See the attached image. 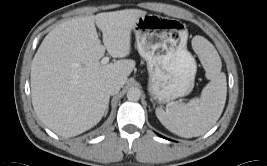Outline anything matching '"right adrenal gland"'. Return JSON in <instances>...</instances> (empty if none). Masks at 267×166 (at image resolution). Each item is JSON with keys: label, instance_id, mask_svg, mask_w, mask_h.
Segmentation results:
<instances>
[{"label": "right adrenal gland", "instance_id": "right-adrenal-gland-1", "mask_svg": "<svg viewBox=\"0 0 267 166\" xmlns=\"http://www.w3.org/2000/svg\"><path fill=\"white\" fill-rule=\"evenodd\" d=\"M108 108H109V103H108V105H107V108H106L105 114H107V112H108Z\"/></svg>", "mask_w": 267, "mask_h": 166}]
</instances>
